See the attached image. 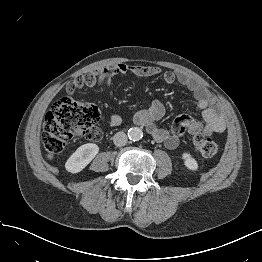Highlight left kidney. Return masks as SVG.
<instances>
[{
	"label": "left kidney",
	"mask_w": 262,
	"mask_h": 262,
	"mask_svg": "<svg viewBox=\"0 0 262 262\" xmlns=\"http://www.w3.org/2000/svg\"><path fill=\"white\" fill-rule=\"evenodd\" d=\"M182 159L184 160V165L189 169V170H197L198 169V163L197 161L187 152H184L182 154Z\"/></svg>",
	"instance_id": "5707ae66"
}]
</instances>
